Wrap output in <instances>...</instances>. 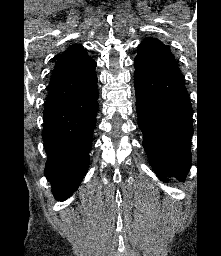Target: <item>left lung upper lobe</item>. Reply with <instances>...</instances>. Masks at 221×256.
<instances>
[{
	"label": "left lung upper lobe",
	"instance_id": "obj_1",
	"mask_svg": "<svg viewBox=\"0 0 221 256\" xmlns=\"http://www.w3.org/2000/svg\"><path fill=\"white\" fill-rule=\"evenodd\" d=\"M134 65L142 72H180L169 48L155 38H147L139 45Z\"/></svg>",
	"mask_w": 221,
	"mask_h": 256
}]
</instances>
